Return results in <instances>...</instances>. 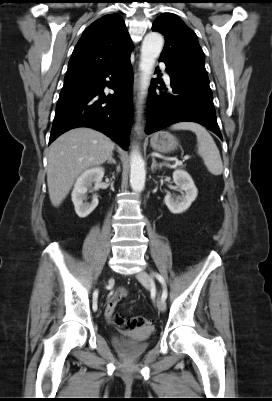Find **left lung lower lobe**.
I'll use <instances>...</instances> for the list:
<instances>
[{"instance_id":"left-lung-lower-lobe-1","label":"left lung lower lobe","mask_w":272,"mask_h":401,"mask_svg":"<svg viewBox=\"0 0 272 401\" xmlns=\"http://www.w3.org/2000/svg\"><path fill=\"white\" fill-rule=\"evenodd\" d=\"M166 64L170 76L171 92L155 91L161 79H153L147 103L146 134L154 133L167 126L191 121L199 123L213 131L222 139L216 120L212 91L208 76L195 73L159 59ZM166 90L165 85L161 84Z\"/></svg>"}]
</instances>
